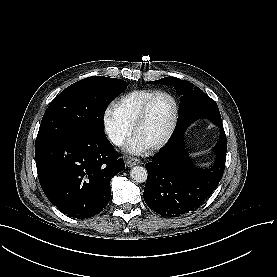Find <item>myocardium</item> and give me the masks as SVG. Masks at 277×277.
<instances>
[{
  "label": "myocardium",
  "mask_w": 277,
  "mask_h": 277,
  "mask_svg": "<svg viewBox=\"0 0 277 277\" xmlns=\"http://www.w3.org/2000/svg\"><path fill=\"white\" fill-rule=\"evenodd\" d=\"M158 96L166 97V98H168L172 101L173 106H174L173 115H172V119L170 121V125L168 127V130H167L166 134L164 135V137L161 140H159V141H157L153 144H144V146L147 150H156V149L162 147L163 145H165L168 142V140L171 138V136L174 132L176 122H177V118H178V106H177V103H176L175 99L170 94H168L167 92H163V91L155 92L147 100V102L145 103L143 109L141 110V112L139 113L138 117L135 120V123H134V126H133V132H132L133 138H137L138 129H139L143 119L145 118L147 110H148L151 102L153 101V99L158 97Z\"/></svg>",
  "instance_id": "obj_1"
}]
</instances>
